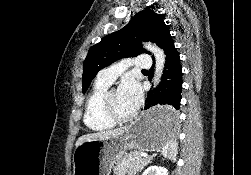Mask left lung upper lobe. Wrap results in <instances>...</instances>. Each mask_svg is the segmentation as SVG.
Returning <instances> with one entry per match:
<instances>
[{"instance_id":"1","label":"left lung upper lobe","mask_w":251,"mask_h":175,"mask_svg":"<svg viewBox=\"0 0 251 175\" xmlns=\"http://www.w3.org/2000/svg\"><path fill=\"white\" fill-rule=\"evenodd\" d=\"M164 17L146 9L136 13L130 22L119 31L102 38L92 46L83 64V87L85 92L98 71L123 57L148 53L141 47L142 41H151L159 47L169 32Z\"/></svg>"}]
</instances>
